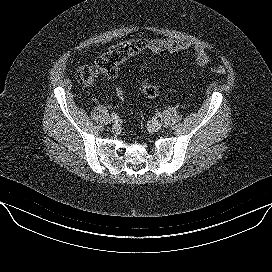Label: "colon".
Returning <instances> with one entry per match:
<instances>
[{
  "mask_svg": "<svg viewBox=\"0 0 272 272\" xmlns=\"http://www.w3.org/2000/svg\"><path fill=\"white\" fill-rule=\"evenodd\" d=\"M145 47L146 42L143 40H132L112 46L102 53L94 63L78 67L75 72V78L83 86H92L99 77L114 75L119 64L138 54ZM211 71L215 74L225 73V69L222 66H216ZM140 89L146 96L151 98L160 95L159 89L145 80L140 82ZM116 95L119 99H123L124 93L120 87L116 89Z\"/></svg>",
  "mask_w": 272,
  "mask_h": 272,
  "instance_id": "1",
  "label": "colon"
}]
</instances>
